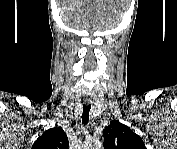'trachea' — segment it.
I'll return each instance as SVG.
<instances>
[{
	"mask_svg": "<svg viewBox=\"0 0 177 149\" xmlns=\"http://www.w3.org/2000/svg\"><path fill=\"white\" fill-rule=\"evenodd\" d=\"M91 109L90 104H84L83 105V113H82V123L86 125L89 121V112Z\"/></svg>",
	"mask_w": 177,
	"mask_h": 149,
	"instance_id": "3493384b",
	"label": "trachea"
}]
</instances>
